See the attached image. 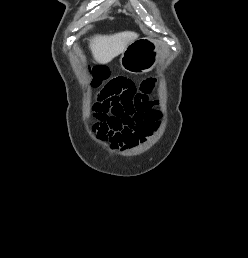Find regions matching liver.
Listing matches in <instances>:
<instances>
[{
    "label": "liver",
    "instance_id": "1",
    "mask_svg": "<svg viewBox=\"0 0 248 258\" xmlns=\"http://www.w3.org/2000/svg\"><path fill=\"white\" fill-rule=\"evenodd\" d=\"M137 37L138 34L129 31L109 36H95L90 40V49L98 63L106 64L122 54Z\"/></svg>",
    "mask_w": 248,
    "mask_h": 258
}]
</instances>
